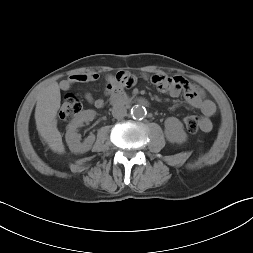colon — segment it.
Here are the masks:
<instances>
[{"label": "colon", "mask_w": 253, "mask_h": 253, "mask_svg": "<svg viewBox=\"0 0 253 253\" xmlns=\"http://www.w3.org/2000/svg\"><path fill=\"white\" fill-rule=\"evenodd\" d=\"M82 109L81 102L73 95L68 94L64 97L60 109V118L63 121H71ZM183 123L186 129L191 133H196L201 128V119L195 115H186L183 117Z\"/></svg>", "instance_id": "5ec220e1"}]
</instances>
